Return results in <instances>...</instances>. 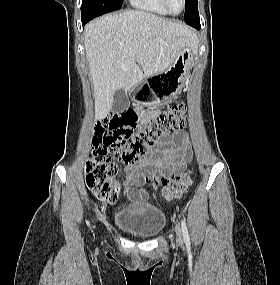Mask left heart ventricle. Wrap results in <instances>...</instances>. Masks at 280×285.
<instances>
[{
  "label": "left heart ventricle",
  "instance_id": "b2bd125f",
  "mask_svg": "<svg viewBox=\"0 0 280 285\" xmlns=\"http://www.w3.org/2000/svg\"><path fill=\"white\" fill-rule=\"evenodd\" d=\"M170 9L173 12H179L182 9V0H168Z\"/></svg>",
  "mask_w": 280,
  "mask_h": 285
}]
</instances>
